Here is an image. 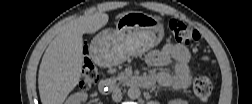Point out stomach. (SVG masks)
Returning <instances> with one entry per match:
<instances>
[{
    "mask_svg": "<svg viewBox=\"0 0 252 104\" xmlns=\"http://www.w3.org/2000/svg\"><path fill=\"white\" fill-rule=\"evenodd\" d=\"M164 35L158 17L131 11L116 22L115 29H105L93 40L92 52L103 64L114 66L130 56H140L160 43Z\"/></svg>",
    "mask_w": 252,
    "mask_h": 104,
    "instance_id": "stomach-1",
    "label": "stomach"
}]
</instances>
